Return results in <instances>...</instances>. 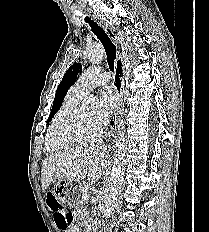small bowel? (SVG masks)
<instances>
[{
	"instance_id": "1",
	"label": "small bowel",
	"mask_w": 209,
	"mask_h": 232,
	"mask_svg": "<svg viewBox=\"0 0 209 232\" xmlns=\"http://www.w3.org/2000/svg\"><path fill=\"white\" fill-rule=\"evenodd\" d=\"M83 215H84V209L82 208V207H79L78 209H77V211L75 212V215H74V217L75 218H81V217H83ZM59 227V226H58ZM60 228V227H59ZM61 229V228H60ZM61 230H63L64 232H81L80 230H79V228L78 227H76V226H69V227H67L66 229H61Z\"/></svg>"
}]
</instances>
